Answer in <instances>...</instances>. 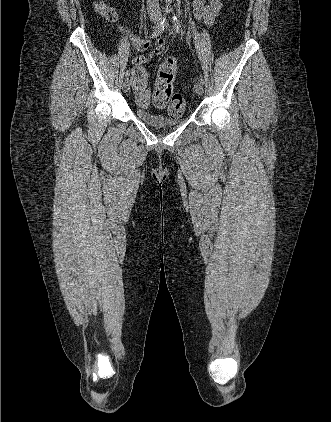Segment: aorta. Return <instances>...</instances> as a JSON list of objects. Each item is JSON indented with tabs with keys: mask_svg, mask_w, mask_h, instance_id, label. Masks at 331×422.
I'll list each match as a JSON object with an SVG mask.
<instances>
[{
	"mask_svg": "<svg viewBox=\"0 0 331 422\" xmlns=\"http://www.w3.org/2000/svg\"><path fill=\"white\" fill-rule=\"evenodd\" d=\"M167 2H171V0H166Z\"/></svg>",
	"mask_w": 331,
	"mask_h": 422,
	"instance_id": "aorta-1",
	"label": "aorta"
}]
</instances>
